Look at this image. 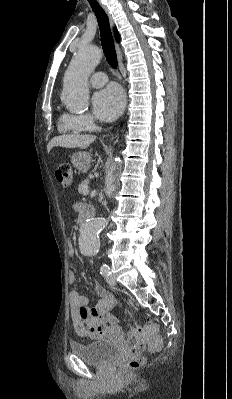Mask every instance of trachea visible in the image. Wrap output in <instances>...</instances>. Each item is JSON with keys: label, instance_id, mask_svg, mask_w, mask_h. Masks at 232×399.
Wrapping results in <instances>:
<instances>
[{"label": "trachea", "instance_id": "1", "mask_svg": "<svg viewBox=\"0 0 232 399\" xmlns=\"http://www.w3.org/2000/svg\"><path fill=\"white\" fill-rule=\"evenodd\" d=\"M98 19L100 29L101 45L107 62L113 68L117 67V55L110 30L109 18L97 0H87Z\"/></svg>", "mask_w": 232, "mask_h": 399}]
</instances>
